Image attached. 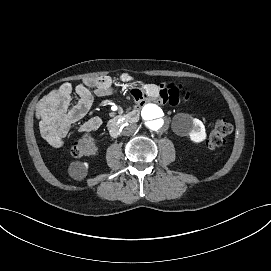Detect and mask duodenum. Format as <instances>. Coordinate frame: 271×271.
I'll return each mask as SVG.
<instances>
[{"instance_id": "410a0bca", "label": "duodenum", "mask_w": 271, "mask_h": 271, "mask_svg": "<svg viewBox=\"0 0 271 271\" xmlns=\"http://www.w3.org/2000/svg\"><path fill=\"white\" fill-rule=\"evenodd\" d=\"M139 110H133L125 114L121 119L112 122L110 126V134L112 137H117L120 133V127L122 123H136L139 120Z\"/></svg>"}]
</instances>
